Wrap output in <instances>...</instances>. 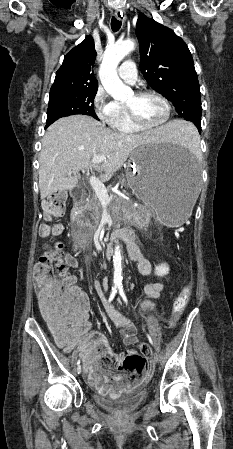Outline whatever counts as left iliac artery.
Returning <instances> with one entry per match:
<instances>
[{
    "instance_id": "obj_1",
    "label": "left iliac artery",
    "mask_w": 233,
    "mask_h": 449,
    "mask_svg": "<svg viewBox=\"0 0 233 449\" xmlns=\"http://www.w3.org/2000/svg\"><path fill=\"white\" fill-rule=\"evenodd\" d=\"M118 289H119V294H120V296H121L122 299L127 303V298H126V295H125V293H124L123 286L120 285V286L118 287ZM147 337H148L149 342L153 345V340H152L151 336H150L149 334H147Z\"/></svg>"
}]
</instances>
